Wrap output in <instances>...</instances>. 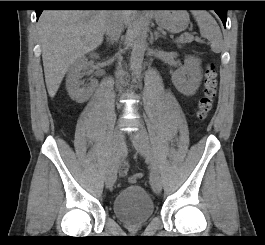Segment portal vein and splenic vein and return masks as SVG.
Masks as SVG:
<instances>
[{"instance_id": "portal-vein-and-splenic-vein-1", "label": "portal vein and splenic vein", "mask_w": 265, "mask_h": 245, "mask_svg": "<svg viewBox=\"0 0 265 245\" xmlns=\"http://www.w3.org/2000/svg\"><path fill=\"white\" fill-rule=\"evenodd\" d=\"M185 37H186V38H194L193 36H191V35H189V34H186ZM183 38H184V37L182 36V37H180L178 40H181V39H183ZM178 40H176V41H178Z\"/></svg>"}]
</instances>
